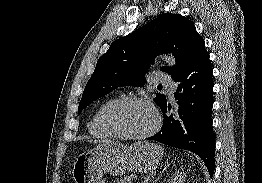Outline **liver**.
Returning a JSON list of instances; mask_svg holds the SVG:
<instances>
[{
	"label": "liver",
	"mask_w": 262,
	"mask_h": 183,
	"mask_svg": "<svg viewBox=\"0 0 262 183\" xmlns=\"http://www.w3.org/2000/svg\"><path fill=\"white\" fill-rule=\"evenodd\" d=\"M90 142H93V143H100V142H102V141H100V140H94V141H90Z\"/></svg>",
	"instance_id": "liver-1"
}]
</instances>
